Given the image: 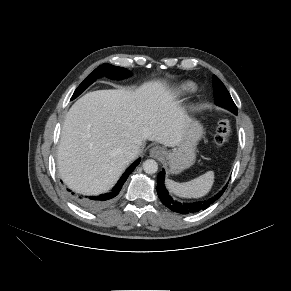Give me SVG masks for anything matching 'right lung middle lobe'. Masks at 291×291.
Returning <instances> with one entry per match:
<instances>
[{"label":"right lung middle lobe","instance_id":"dd1d6c3e","mask_svg":"<svg viewBox=\"0 0 291 291\" xmlns=\"http://www.w3.org/2000/svg\"><path fill=\"white\" fill-rule=\"evenodd\" d=\"M130 72L122 67H116L110 64H103L97 67L88 77L78 86L75 90L71 99L76 98L80 95L91 83H93L96 78L106 75L113 79H120L126 77Z\"/></svg>","mask_w":291,"mask_h":291}]
</instances>
